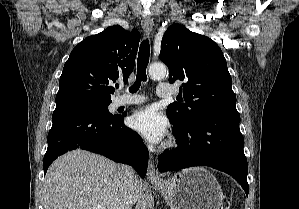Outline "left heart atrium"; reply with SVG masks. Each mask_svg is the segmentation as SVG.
I'll list each match as a JSON object with an SVG mask.
<instances>
[{
	"label": "left heart atrium",
	"mask_w": 299,
	"mask_h": 209,
	"mask_svg": "<svg viewBox=\"0 0 299 209\" xmlns=\"http://www.w3.org/2000/svg\"><path fill=\"white\" fill-rule=\"evenodd\" d=\"M130 126L149 143L157 144L163 141L167 134V119L150 106L135 112L130 118Z\"/></svg>",
	"instance_id": "left-heart-atrium-1"
}]
</instances>
